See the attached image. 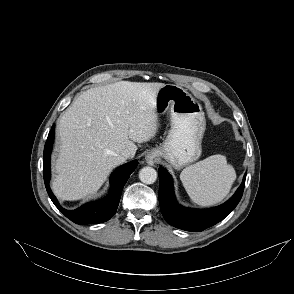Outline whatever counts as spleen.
Instances as JSON below:
<instances>
[{
    "instance_id": "obj_1",
    "label": "spleen",
    "mask_w": 294,
    "mask_h": 294,
    "mask_svg": "<svg viewBox=\"0 0 294 294\" xmlns=\"http://www.w3.org/2000/svg\"><path fill=\"white\" fill-rule=\"evenodd\" d=\"M180 179L193 202L211 206L228 195L236 173L226 157L217 154L183 169Z\"/></svg>"
}]
</instances>
